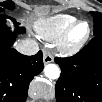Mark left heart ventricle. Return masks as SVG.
<instances>
[{
  "instance_id": "1",
  "label": "left heart ventricle",
  "mask_w": 102,
  "mask_h": 102,
  "mask_svg": "<svg viewBox=\"0 0 102 102\" xmlns=\"http://www.w3.org/2000/svg\"><path fill=\"white\" fill-rule=\"evenodd\" d=\"M84 28H85V25H80V26L76 29V31L83 30Z\"/></svg>"
}]
</instances>
